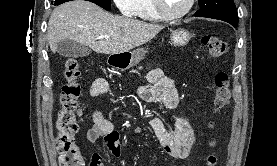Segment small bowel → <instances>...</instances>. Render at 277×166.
<instances>
[{
	"instance_id": "small-bowel-1",
	"label": "small bowel",
	"mask_w": 277,
	"mask_h": 166,
	"mask_svg": "<svg viewBox=\"0 0 277 166\" xmlns=\"http://www.w3.org/2000/svg\"><path fill=\"white\" fill-rule=\"evenodd\" d=\"M149 85L143 86L139 91L140 98L148 103H161L168 109H174L179 103V93L174 86L172 79L167 77L162 70L154 69L148 74ZM109 91V83L104 78H97L90 87V95L98 97ZM93 126L87 131L86 140L94 144L98 139L104 138L105 144L110 153L119 157L121 147L119 134L113 124L104 117L99 110L94 111ZM164 152L176 160H185L193 147L195 141L194 130L189 121L183 117H177L173 130L167 129L163 120L154 117L150 121ZM139 128L134 129L138 134ZM100 153H93L90 166H104Z\"/></svg>"
}]
</instances>
